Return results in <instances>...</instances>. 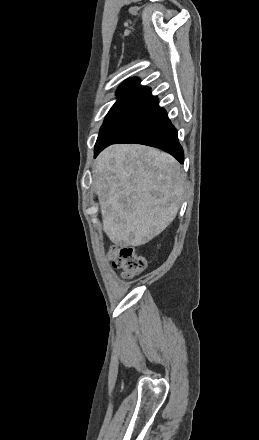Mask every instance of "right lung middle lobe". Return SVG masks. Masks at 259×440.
<instances>
[{"instance_id":"right-lung-middle-lobe-1","label":"right lung middle lobe","mask_w":259,"mask_h":440,"mask_svg":"<svg viewBox=\"0 0 259 440\" xmlns=\"http://www.w3.org/2000/svg\"><path fill=\"white\" fill-rule=\"evenodd\" d=\"M145 96L146 94H118V100L106 115L98 140L104 139L113 131L137 107Z\"/></svg>"}]
</instances>
